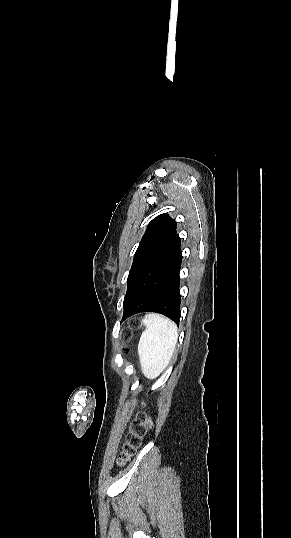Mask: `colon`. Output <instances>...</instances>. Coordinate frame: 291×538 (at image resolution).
I'll return each mask as SVG.
<instances>
[{"label":"colon","mask_w":291,"mask_h":538,"mask_svg":"<svg viewBox=\"0 0 291 538\" xmlns=\"http://www.w3.org/2000/svg\"><path fill=\"white\" fill-rule=\"evenodd\" d=\"M124 335L128 338L130 333L126 332ZM151 425V418L146 413L139 412L136 414L122 444L118 460L119 464H124L136 453V450L140 447L142 439Z\"/></svg>","instance_id":"1"}]
</instances>
